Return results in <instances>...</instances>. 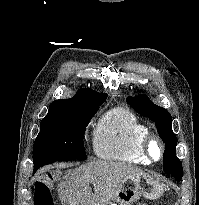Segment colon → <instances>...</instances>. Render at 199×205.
Masks as SVG:
<instances>
[{
  "label": "colon",
  "mask_w": 199,
  "mask_h": 205,
  "mask_svg": "<svg viewBox=\"0 0 199 205\" xmlns=\"http://www.w3.org/2000/svg\"><path fill=\"white\" fill-rule=\"evenodd\" d=\"M35 205H54L49 187L40 182L36 184Z\"/></svg>",
  "instance_id": "1"
}]
</instances>
